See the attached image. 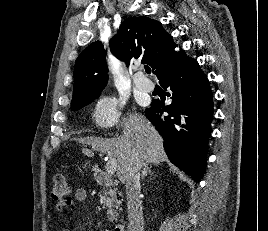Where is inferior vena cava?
<instances>
[{
    "label": "inferior vena cava",
    "instance_id": "602c4592",
    "mask_svg": "<svg viewBox=\"0 0 268 231\" xmlns=\"http://www.w3.org/2000/svg\"><path fill=\"white\" fill-rule=\"evenodd\" d=\"M142 165L143 160L137 153H133L124 178L129 221L128 231H144L142 202L139 196Z\"/></svg>",
    "mask_w": 268,
    "mask_h": 231
}]
</instances>
